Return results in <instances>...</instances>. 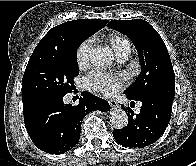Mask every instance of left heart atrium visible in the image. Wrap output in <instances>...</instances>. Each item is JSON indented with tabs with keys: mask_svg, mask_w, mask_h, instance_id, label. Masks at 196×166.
I'll use <instances>...</instances> for the list:
<instances>
[{
	"mask_svg": "<svg viewBox=\"0 0 196 166\" xmlns=\"http://www.w3.org/2000/svg\"><path fill=\"white\" fill-rule=\"evenodd\" d=\"M123 79L122 76L95 71L85 78V85L90 90L111 95L121 90Z\"/></svg>",
	"mask_w": 196,
	"mask_h": 166,
	"instance_id": "left-heart-atrium-1",
	"label": "left heart atrium"
}]
</instances>
